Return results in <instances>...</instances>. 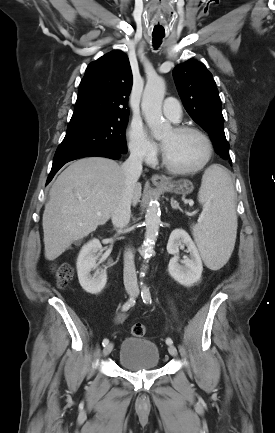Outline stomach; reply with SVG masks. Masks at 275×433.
<instances>
[{
	"label": "stomach",
	"mask_w": 275,
	"mask_h": 433,
	"mask_svg": "<svg viewBox=\"0 0 275 433\" xmlns=\"http://www.w3.org/2000/svg\"><path fill=\"white\" fill-rule=\"evenodd\" d=\"M156 186L164 191L182 195L190 194L194 189L192 183L188 180H180L167 185Z\"/></svg>",
	"instance_id": "0dacf381"
}]
</instances>
